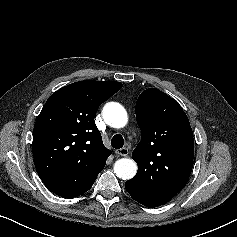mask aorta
<instances>
[{
	"label": "aorta",
	"mask_w": 237,
	"mask_h": 237,
	"mask_svg": "<svg viewBox=\"0 0 237 237\" xmlns=\"http://www.w3.org/2000/svg\"><path fill=\"white\" fill-rule=\"evenodd\" d=\"M105 122L114 128H122L127 124L128 115L125 108L117 102L105 104L102 110ZM114 172L117 177L123 180L133 178L137 172V164L129 158H122L115 162Z\"/></svg>",
	"instance_id": "762f6f07"
}]
</instances>
